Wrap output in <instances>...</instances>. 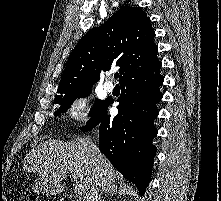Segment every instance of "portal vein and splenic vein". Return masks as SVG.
Masks as SVG:
<instances>
[{
    "label": "portal vein and splenic vein",
    "mask_w": 221,
    "mask_h": 201,
    "mask_svg": "<svg viewBox=\"0 0 221 201\" xmlns=\"http://www.w3.org/2000/svg\"><path fill=\"white\" fill-rule=\"evenodd\" d=\"M74 191L75 193L78 195V196H81L83 193H84V187L82 184H76L75 185V188H74Z\"/></svg>",
    "instance_id": "obj_1"
}]
</instances>
